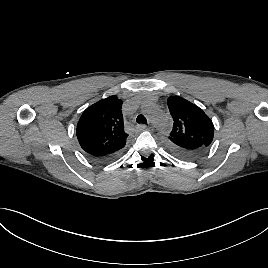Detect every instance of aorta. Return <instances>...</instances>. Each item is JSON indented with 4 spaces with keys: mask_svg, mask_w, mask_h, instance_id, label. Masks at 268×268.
I'll list each match as a JSON object with an SVG mask.
<instances>
[{
    "mask_svg": "<svg viewBox=\"0 0 268 268\" xmlns=\"http://www.w3.org/2000/svg\"><path fill=\"white\" fill-rule=\"evenodd\" d=\"M142 111L148 116L151 123L157 129H163L166 126V120L160 109L150 101H144L141 105Z\"/></svg>",
    "mask_w": 268,
    "mask_h": 268,
    "instance_id": "762f6f07",
    "label": "aorta"
}]
</instances>
